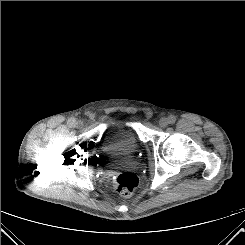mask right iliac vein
Here are the masks:
<instances>
[{
    "label": "right iliac vein",
    "instance_id": "right-iliac-vein-1",
    "mask_svg": "<svg viewBox=\"0 0 245 245\" xmlns=\"http://www.w3.org/2000/svg\"><path fill=\"white\" fill-rule=\"evenodd\" d=\"M83 126V122L78 121L76 122V127L81 128Z\"/></svg>",
    "mask_w": 245,
    "mask_h": 245
}]
</instances>
